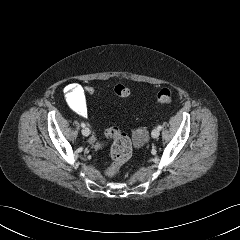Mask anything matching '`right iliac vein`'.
<instances>
[{"label":"right iliac vein","mask_w":240,"mask_h":240,"mask_svg":"<svg viewBox=\"0 0 240 240\" xmlns=\"http://www.w3.org/2000/svg\"><path fill=\"white\" fill-rule=\"evenodd\" d=\"M82 134H83L84 136H89V134H90L89 128H87V127L83 128V129H82Z\"/></svg>","instance_id":"right-iliac-vein-1"}]
</instances>
